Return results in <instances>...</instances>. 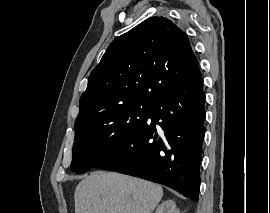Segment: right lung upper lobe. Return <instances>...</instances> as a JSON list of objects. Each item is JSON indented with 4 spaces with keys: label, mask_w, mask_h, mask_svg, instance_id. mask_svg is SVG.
Masks as SVG:
<instances>
[{
    "label": "right lung upper lobe",
    "mask_w": 270,
    "mask_h": 213,
    "mask_svg": "<svg viewBox=\"0 0 270 213\" xmlns=\"http://www.w3.org/2000/svg\"><path fill=\"white\" fill-rule=\"evenodd\" d=\"M198 67L188 36L165 17H150L115 39L92 70L77 122L122 105L154 104Z\"/></svg>",
    "instance_id": "cb5924a9"
}]
</instances>
